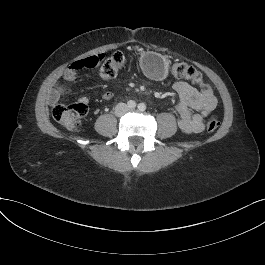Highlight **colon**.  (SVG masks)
<instances>
[{
	"label": "colon",
	"mask_w": 265,
	"mask_h": 265,
	"mask_svg": "<svg viewBox=\"0 0 265 265\" xmlns=\"http://www.w3.org/2000/svg\"><path fill=\"white\" fill-rule=\"evenodd\" d=\"M126 62V55L121 51H116L108 56L104 54H96L74 62L70 67V72L75 73L78 70L86 68L99 67L100 76L105 79H113L123 68ZM169 73L175 78H184L195 82L196 84L208 87L200 72L194 67L185 64H174ZM87 106L83 103H74L69 105H56L53 108L54 118L69 130H77L82 122V119L87 114ZM220 123L216 117L211 114L207 117L206 128L209 132L215 131Z\"/></svg>",
	"instance_id": "colon-1"
}]
</instances>
